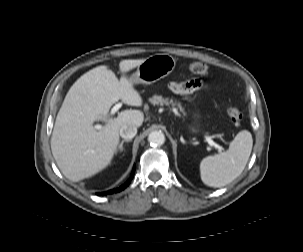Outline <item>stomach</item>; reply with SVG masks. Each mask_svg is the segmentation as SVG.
<instances>
[{"label":"stomach","instance_id":"obj_1","mask_svg":"<svg viewBox=\"0 0 303 252\" xmlns=\"http://www.w3.org/2000/svg\"><path fill=\"white\" fill-rule=\"evenodd\" d=\"M175 64V59L171 55H151L138 65L136 72L129 79L133 84H151L168 76L174 70ZM193 118L198 119L199 114L194 113ZM189 131L198 133V129L194 126H190Z\"/></svg>","mask_w":303,"mask_h":252}]
</instances>
